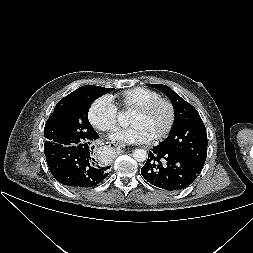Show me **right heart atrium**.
<instances>
[{"label": "right heart atrium", "mask_w": 253, "mask_h": 253, "mask_svg": "<svg viewBox=\"0 0 253 253\" xmlns=\"http://www.w3.org/2000/svg\"><path fill=\"white\" fill-rule=\"evenodd\" d=\"M119 110L110 95H102L91 104L88 118L91 124L98 130L113 131L118 122Z\"/></svg>", "instance_id": "1"}]
</instances>
